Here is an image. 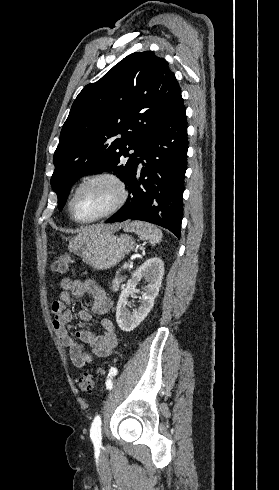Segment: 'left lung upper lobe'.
<instances>
[{"label":"left lung upper lobe","mask_w":279,"mask_h":490,"mask_svg":"<svg viewBox=\"0 0 279 490\" xmlns=\"http://www.w3.org/2000/svg\"><path fill=\"white\" fill-rule=\"evenodd\" d=\"M179 100L175 75L151 51L126 56L86 85L73 102L54 153L51 186L59 210L70 187L87 173L114 171L127 185L150 132Z\"/></svg>","instance_id":"1"}]
</instances>
